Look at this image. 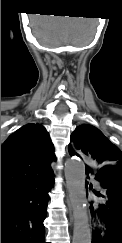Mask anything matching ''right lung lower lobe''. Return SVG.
Returning <instances> with one entry per match:
<instances>
[{"label":"right lung lower lobe","instance_id":"obj_1","mask_svg":"<svg viewBox=\"0 0 122 243\" xmlns=\"http://www.w3.org/2000/svg\"><path fill=\"white\" fill-rule=\"evenodd\" d=\"M54 173L1 193V243H46L44 220Z\"/></svg>","mask_w":122,"mask_h":243}]
</instances>
